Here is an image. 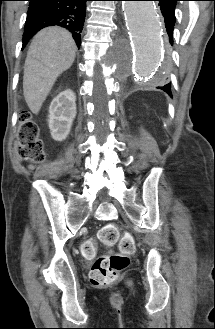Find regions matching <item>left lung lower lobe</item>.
<instances>
[{
    "label": "left lung lower lobe",
    "mask_w": 215,
    "mask_h": 329,
    "mask_svg": "<svg viewBox=\"0 0 215 329\" xmlns=\"http://www.w3.org/2000/svg\"><path fill=\"white\" fill-rule=\"evenodd\" d=\"M159 2V6L161 9V13L164 17V21H165V27H166V31L168 34V38H169V43L172 46L173 45V30H174V25H175V6H176V2L180 1V0H156ZM160 90H163L164 92H166L169 96H172L171 93V84L167 83L165 85H161L159 87H157Z\"/></svg>",
    "instance_id": "1"
}]
</instances>
